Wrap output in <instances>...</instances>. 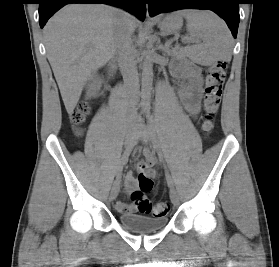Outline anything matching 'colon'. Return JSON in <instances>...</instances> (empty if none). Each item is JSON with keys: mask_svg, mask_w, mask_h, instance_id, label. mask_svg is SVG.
I'll list each match as a JSON object with an SVG mask.
<instances>
[{"mask_svg": "<svg viewBox=\"0 0 279 267\" xmlns=\"http://www.w3.org/2000/svg\"><path fill=\"white\" fill-rule=\"evenodd\" d=\"M226 68V61H218L210 66L207 71L203 97L204 120L202 124L205 133H209L212 129L214 117L220 107L223 85L226 79ZM91 110V102L83 101L72 114L71 120L78 135L81 134V125L86 121ZM138 182L139 190L132 193V200L136 210L143 214L152 213L156 217L166 215L171 209V204L168 201H161L153 205L146 196V193L153 187V171L149 164L143 163L140 166Z\"/></svg>", "mask_w": 279, "mask_h": 267, "instance_id": "obj_1", "label": "colon"}]
</instances>
